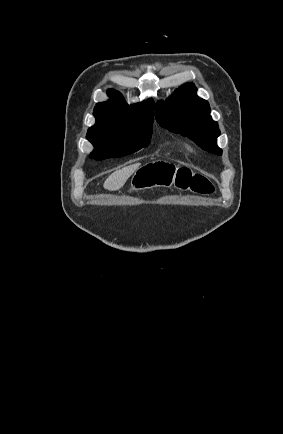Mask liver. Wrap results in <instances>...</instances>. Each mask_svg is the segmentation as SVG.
Returning <instances> with one entry per match:
<instances>
[{"label": "liver", "mask_w": 283, "mask_h": 434, "mask_svg": "<svg viewBox=\"0 0 283 434\" xmlns=\"http://www.w3.org/2000/svg\"><path fill=\"white\" fill-rule=\"evenodd\" d=\"M140 163H135L114 171L104 182V188L109 191L120 189L128 178L140 168Z\"/></svg>", "instance_id": "1"}]
</instances>
